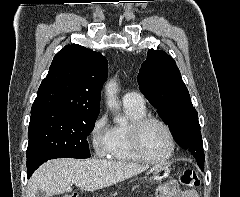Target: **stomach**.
Here are the masks:
<instances>
[{
    "instance_id": "1",
    "label": "stomach",
    "mask_w": 240,
    "mask_h": 197,
    "mask_svg": "<svg viewBox=\"0 0 240 197\" xmlns=\"http://www.w3.org/2000/svg\"><path fill=\"white\" fill-rule=\"evenodd\" d=\"M170 169L168 167H163L159 169H155L152 171V175L150 176L151 181H161L169 176Z\"/></svg>"
}]
</instances>
